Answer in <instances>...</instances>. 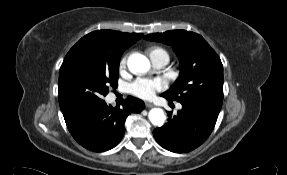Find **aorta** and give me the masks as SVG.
<instances>
[{"instance_id":"762f6f07","label":"aorta","mask_w":287,"mask_h":175,"mask_svg":"<svg viewBox=\"0 0 287 175\" xmlns=\"http://www.w3.org/2000/svg\"><path fill=\"white\" fill-rule=\"evenodd\" d=\"M128 69L134 74H145L150 69L148 58L140 53H133L127 60ZM150 122L155 126H162L166 116L161 108H152L148 113Z\"/></svg>"}]
</instances>
